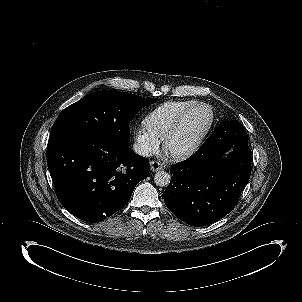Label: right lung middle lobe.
I'll use <instances>...</instances> for the list:
<instances>
[{"mask_svg":"<svg viewBox=\"0 0 302 302\" xmlns=\"http://www.w3.org/2000/svg\"><path fill=\"white\" fill-rule=\"evenodd\" d=\"M157 100L113 90L87 94L59 114L49 141L96 134L129 145L130 121L143 107Z\"/></svg>","mask_w":302,"mask_h":302,"instance_id":"1","label":"right lung middle lobe"}]
</instances>
